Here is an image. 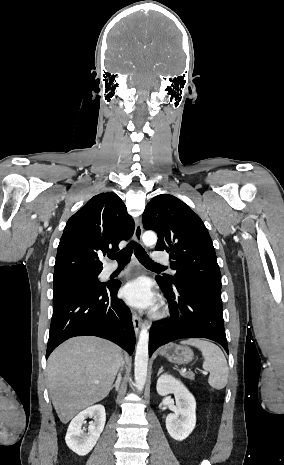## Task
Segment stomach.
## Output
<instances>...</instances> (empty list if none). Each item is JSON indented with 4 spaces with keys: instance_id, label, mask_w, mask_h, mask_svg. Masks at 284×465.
Listing matches in <instances>:
<instances>
[{
    "instance_id": "1",
    "label": "stomach",
    "mask_w": 284,
    "mask_h": 465,
    "mask_svg": "<svg viewBox=\"0 0 284 465\" xmlns=\"http://www.w3.org/2000/svg\"><path fill=\"white\" fill-rule=\"evenodd\" d=\"M160 355L166 357L169 363H177V365H188L193 361L194 357L190 347H180V345H173V343L166 345Z\"/></svg>"
}]
</instances>
